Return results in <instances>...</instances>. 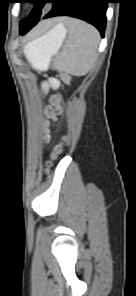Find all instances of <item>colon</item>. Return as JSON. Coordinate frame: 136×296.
<instances>
[{"mask_svg": "<svg viewBox=\"0 0 136 296\" xmlns=\"http://www.w3.org/2000/svg\"><path fill=\"white\" fill-rule=\"evenodd\" d=\"M58 112H59L58 99L55 98L53 100V106L49 110V115L54 116V115L58 114ZM47 139H48V136H45L44 141L46 142ZM57 153H58V148H55L53 151V154H57Z\"/></svg>", "mask_w": 136, "mask_h": 296, "instance_id": "colon-1", "label": "colon"}]
</instances>
